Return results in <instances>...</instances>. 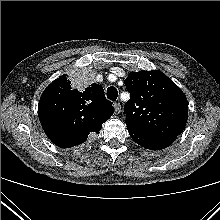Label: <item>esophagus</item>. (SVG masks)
<instances>
[{
  "instance_id": "esophagus-1",
  "label": "esophagus",
  "mask_w": 220,
  "mask_h": 220,
  "mask_svg": "<svg viewBox=\"0 0 220 220\" xmlns=\"http://www.w3.org/2000/svg\"><path fill=\"white\" fill-rule=\"evenodd\" d=\"M114 110H115V114H119L121 112V105L120 103H114Z\"/></svg>"
}]
</instances>
